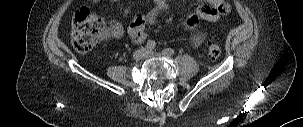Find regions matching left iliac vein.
Instances as JSON below:
<instances>
[{
    "label": "left iliac vein",
    "instance_id": "1",
    "mask_svg": "<svg viewBox=\"0 0 303 127\" xmlns=\"http://www.w3.org/2000/svg\"><path fill=\"white\" fill-rule=\"evenodd\" d=\"M159 55H161V54L154 52V51H148V53H147V57H153V56H159ZM162 55H164V54H162Z\"/></svg>",
    "mask_w": 303,
    "mask_h": 127
}]
</instances>
